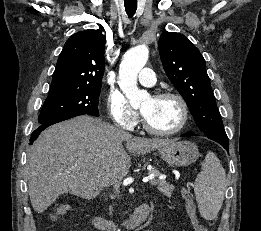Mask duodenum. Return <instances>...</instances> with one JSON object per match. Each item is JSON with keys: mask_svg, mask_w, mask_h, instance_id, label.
Returning a JSON list of instances; mask_svg holds the SVG:
<instances>
[{"mask_svg": "<svg viewBox=\"0 0 261 231\" xmlns=\"http://www.w3.org/2000/svg\"><path fill=\"white\" fill-rule=\"evenodd\" d=\"M148 213V203H142L135 209L132 216L128 219V221L125 224L129 228H134L147 218ZM94 226L101 230L108 229V231H114L116 223L109 222L102 217H97L94 221Z\"/></svg>", "mask_w": 261, "mask_h": 231, "instance_id": "410a0bca", "label": "duodenum"}]
</instances>
